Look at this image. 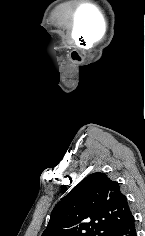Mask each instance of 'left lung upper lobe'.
I'll return each mask as SVG.
<instances>
[{"instance_id":"left-lung-upper-lobe-1","label":"left lung upper lobe","mask_w":145,"mask_h":236,"mask_svg":"<svg viewBox=\"0 0 145 236\" xmlns=\"http://www.w3.org/2000/svg\"><path fill=\"white\" fill-rule=\"evenodd\" d=\"M131 215L119 184L93 173L54 207L42 236H113Z\"/></svg>"}]
</instances>
